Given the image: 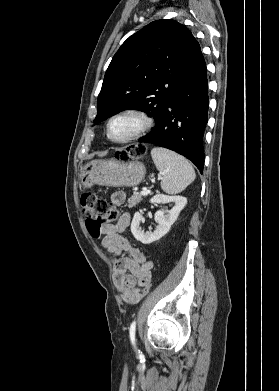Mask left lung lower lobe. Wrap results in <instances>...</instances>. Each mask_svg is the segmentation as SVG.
I'll return each mask as SVG.
<instances>
[{"label": "left lung lower lobe", "mask_w": 279, "mask_h": 391, "mask_svg": "<svg viewBox=\"0 0 279 391\" xmlns=\"http://www.w3.org/2000/svg\"><path fill=\"white\" fill-rule=\"evenodd\" d=\"M207 69L203 55L164 105L155 128L139 142L171 149L203 171V136L208 121Z\"/></svg>", "instance_id": "obj_1"}]
</instances>
